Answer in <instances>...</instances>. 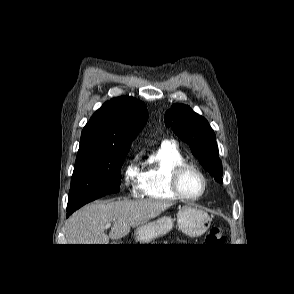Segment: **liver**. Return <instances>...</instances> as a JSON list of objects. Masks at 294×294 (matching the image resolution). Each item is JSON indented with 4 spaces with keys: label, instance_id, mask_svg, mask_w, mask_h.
Listing matches in <instances>:
<instances>
[{
    "label": "liver",
    "instance_id": "obj_1",
    "mask_svg": "<svg viewBox=\"0 0 294 294\" xmlns=\"http://www.w3.org/2000/svg\"><path fill=\"white\" fill-rule=\"evenodd\" d=\"M173 205L169 201L118 200L95 202L76 211L65 224L67 244H109L110 239L126 236L131 227H138L159 216ZM113 226L106 234V224Z\"/></svg>",
    "mask_w": 294,
    "mask_h": 294
}]
</instances>
